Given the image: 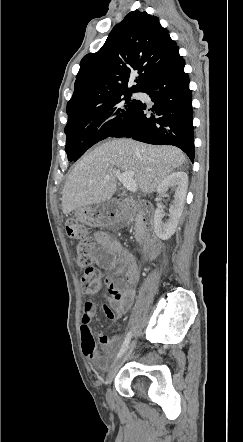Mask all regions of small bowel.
Here are the masks:
<instances>
[{
  "label": "small bowel",
  "instance_id": "1",
  "mask_svg": "<svg viewBox=\"0 0 243 442\" xmlns=\"http://www.w3.org/2000/svg\"><path fill=\"white\" fill-rule=\"evenodd\" d=\"M95 238L100 248L93 256L94 262L104 269L115 272V276L107 279L108 298L107 303L102 305V310L108 320L117 321L125 316L135 300V287L140 279L139 267L134 256L109 233L97 231ZM96 313L97 306L94 302L84 303L80 321L81 347L83 355L96 369L105 370L121 339L98 331L97 336L105 354L97 350L90 327Z\"/></svg>",
  "mask_w": 243,
  "mask_h": 442
}]
</instances>
